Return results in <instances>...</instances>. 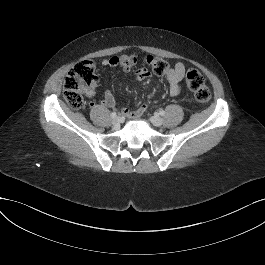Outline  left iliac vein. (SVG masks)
<instances>
[{
	"label": "left iliac vein",
	"instance_id": "left-iliac-vein-1",
	"mask_svg": "<svg viewBox=\"0 0 265 265\" xmlns=\"http://www.w3.org/2000/svg\"><path fill=\"white\" fill-rule=\"evenodd\" d=\"M150 120H151L152 124L155 126H161L163 123L162 118H160L157 115L152 116Z\"/></svg>",
	"mask_w": 265,
	"mask_h": 265
}]
</instances>
